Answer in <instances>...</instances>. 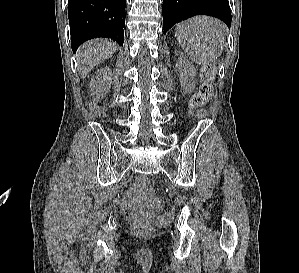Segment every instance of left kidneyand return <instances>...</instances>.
<instances>
[{
	"label": "left kidney",
	"instance_id": "obj_1",
	"mask_svg": "<svg viewBox=\"0 0 299 273\" xmlns=\"http://www.w3.org/2000/svg\"><path fill=\"white\" fill-rule=\"evenodd\" d=\"M176 68L180 72L181 87L185 92H191L196 86V70L192 63L184 57H180L176 63Z\"/></svg>",
	"mask_w": 299,
	"mask_h": 273
}]
</instances>
